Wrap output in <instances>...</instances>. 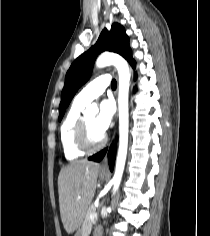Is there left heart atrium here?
<instances>
[{
	"mask_svg": "<svg viewBox=\"0 0 210 236\" xmlns=\"http://www.w3.org/2000/svg\"><path fill=\"white\" fill-rule=\"evenodd\" d=\"M113 104L109 100L101 102L98 115L95 118L94 125L102 134L110 127L113 118Z\"/></svg>",
	"mask_w": 210,
	"mask_h": 236,
	"instance_id": "left-heart-atrium-1",
	"label": "left heart atrium"
}]
</instances>
